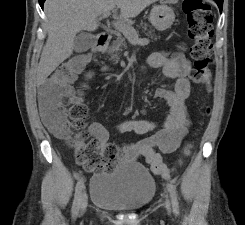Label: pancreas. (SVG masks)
<instances>
[{"label": "pancreas", "mask_w": 245, "mask_h": 225, "mask_svg": "<svg viewBox=\"0 0 245 225\" xmlns=\"http://www.w3.org/2000/svg\"><path fill=\"white\" fill-rule=\"evenodd\" d=\"M147 25H145L146 29ZM152 31H149L147 33L148 36H151ZM117 38L113 41L112 45L108 48L107 53L111 56L110 60H112L114 63H118L120 59V52L123 51V49L127 48L125 38L121 35V33H116ZM152 37V36H151Z\"/></svg>", "instance_id": "1"}]
</instances>
